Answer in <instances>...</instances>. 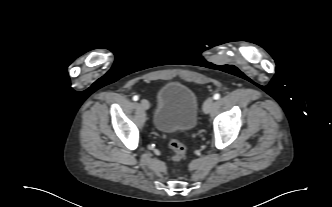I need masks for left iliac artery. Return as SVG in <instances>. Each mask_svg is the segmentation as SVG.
<instances>
[{
    "label": "left iliac artery",
    "mask_w": 332,
    "mask_h": 207,
    "mask_svg": "<svg viewBox=\"0 0 332 207\" xmlns=\"http://www.w3.org/2000/svg\"><path fill=\"white\" fill-rule=\"evenodd\" d=\"M213 98H214L215 100H218V99L220 98V94L216 93V94L213 96Z\"/></svg>",
    "instance_id": "obj_1"
}]
</instances>
